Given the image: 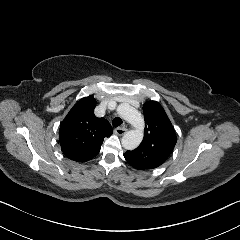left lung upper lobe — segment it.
I'll return each instance as SVG.
<instances>
[{
  "mask_svg": "<svg viewBox=\"0 0 240 240\" xmlns=\"http://www.w3.org/2000/svg\"><path fill=\"white\" fill-rule=\"evenodd\" d=\"M143 112L146 123L143 141L136 149L124 153L126 161L138 170L162 165L176 144L172 123L158 102H146Z\"/></svg>",
  "mask_w": 240,
  "mask_h": 240,
  "instance_id": "1",
  "label": "left lung upper lobe"
}]
</instances>
